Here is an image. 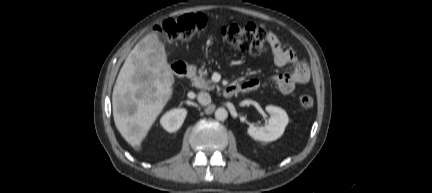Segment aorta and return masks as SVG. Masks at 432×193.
<instances>
[{"instance_id":"aorta-1","label":"aorta","mask_w":432,"mask_h":193,"mask_svg":"<svg viewBox=\"0 0 432 193\" xmlns=\"http://www.w3.org/2000/svg\"><path fill=\"white\" fill-rule=\"evenodd\" d=\"M227 117H228V112L225 108L220 107L215 111V118L217 120L224 121L227 119Z\"/></svg>"}]
</instances>
